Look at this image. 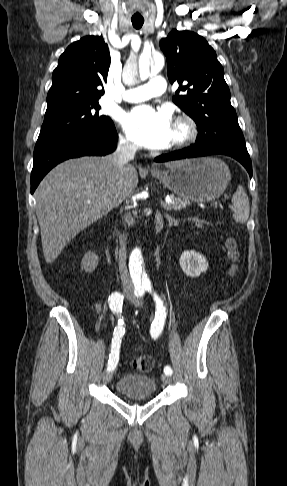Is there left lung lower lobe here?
Listing matches in <instances>:
<instances>
[{"mask_svg": "<svg viewBox=\"0 0 287 486\" xmlns=\"http://www.w3.org/2000/svg\"><path fill=\"white\" fill-rule=\"evenodd\" d=\"M214 154H223L238 160L246 168L250 177H252V165H251L250 156L247 151H243V150H234V149H227V148H208V147H201L195 145L189 148H185L179 151H174L169 154L159 156L155 158V161L166 162L170 160H179V159L201 157V156L214 155Z\"/></svg>", "mask_w": 287, "mask_h": 486, "instance_id": "1", "label": "left lung lower lobe"}]
</instances>
